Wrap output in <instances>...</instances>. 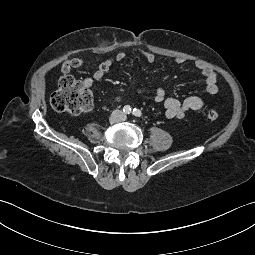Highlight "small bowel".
Returning <instances> with one entry per match:
<instances>
[{
	"mask_svg": "<svg viewBox=\"0 0 255 255\" xmlns=\"http://www.w3.org/2000/svg\"><path fill=\"white\" fill-rule=\"evenodd\" d=\"M148 63H154L156 57L153 53L143 50L137 51ZM127 53L124 51L118 52L114 58H108L102 61L98 66L92 78H86L84 84L87 88H91L95 81H102L105 74L109 71L115 62H122L126 59ZM185 62L184 59L179 58L175 60L176 65H182ZM83 65V59L70 58L66 59L61 64V71L65 74L70 73L74 69H78ZM196 68L204 78L205 89L207 93L215 95L218 93L219 88L217 85V75L209 67L202 63H197ZM114 101H120L119 97H116ZM154 101L161 104L164 108L165 116L168 119H181L188 111H198L204 107V101L198 96H190L183 101H179L175 98L167 97L165 89L158 87L154 95Z\"/></svg>",
	"mask_w": 255,
	"mask_h": 255,
	"instance_id": "small-bowel-1",
	"label": "small bowel"
}]
</instances>
